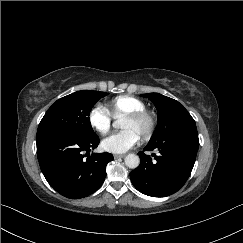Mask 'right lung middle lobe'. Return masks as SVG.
Returning <instances> with one entry per match:
<instances>
[{
  "mask_svg": "<svg viewBox=\"0 0 243 243\" xmlns=\"http://www.w3.org/2000/svg\"><path fill=\"white\" fill-rule=\"evenodd\" d=\"M107 94L83 90L60 98L42 118L36 138L47 134H65L80 138L95 136L89 114L97 101Z\"/></svg>",
  "mask_w": 243,
  "mask_h": 243,
  "instance_id": "1",
  "label": "right lung middle lobe"
}]
</instances>
